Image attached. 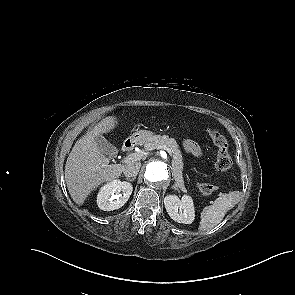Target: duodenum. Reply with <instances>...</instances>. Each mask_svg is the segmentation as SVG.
Returning a JSON list of instances; mask_svg holds the SVG:
<instances>
[{
	"label": "duodenum",
	"mask_w": 295,
	"mask_h": 295,
	"mask_svg": "<svg viewBox=\"0 0 295 295\" xmlns=\"http://www.w3.org/2000/svg\"><path fill=\"white\" fill-rule=\"evenodd\" d=\"M135 144L136 142L134 139L126 140L122 147L123 152H130L134 148Z\"/></svg>",
	"instance_id": "duodenum-1"
}]
</instances>
